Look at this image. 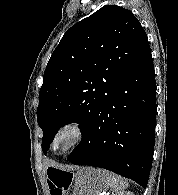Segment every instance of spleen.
<instances>
[{
	"label": "spleen",
	"instance_id": "obj_1",
	"mask_svg": "<svg viewBox=\"0 0 178 195\" xmlns=\"http://www.w3.org/2000/svg\"><path fill=\"white\" fill-rule=\"evenodd\" d=\"M98 173L112 191H120L128 187L127 181L117 174L102 169H98Z\"/></svg>",
	"mask_w": 178,
	"mask_h": 195
}]
</instances>
